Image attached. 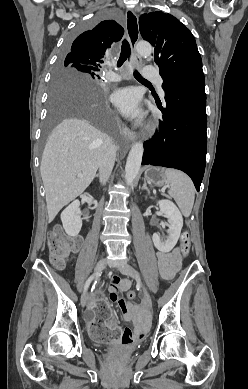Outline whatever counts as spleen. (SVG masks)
Returning <instances> with one entry per match:
<instances>
[{
    "label": "spleen",
    "mask_w": 248,
    "mask_h": 389,
    "mask_svg": "<svg viewBox=\"0 0 248 389\" xmlns=\"http://www.w3.org/2000/svg\"><path fill=\"white\" fill-rule=\"evenodd\" d=\"M169 195L174 198L180 211L189 217L195 199V188L188 175L176 169H165Z\"/></svg>",
    "instance_id": "3e777b00"
}]
</instances>
